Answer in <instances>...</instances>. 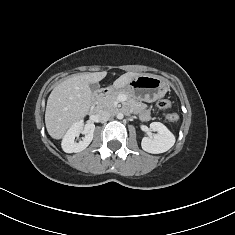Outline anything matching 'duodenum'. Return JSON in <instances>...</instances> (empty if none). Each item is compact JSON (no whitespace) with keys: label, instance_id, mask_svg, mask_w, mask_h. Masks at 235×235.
I'll return each mask as SVG.
<instances>
[{"label":"duodenum","instance_id":"410a0bca","mask_svg":"<svg viewBox=\"0 0 235 235\" xmlns=\"http://www.w3.org/2000/svg\"><path fill=\"white\" fill-rule=\"evenodd\" d=\"M112 92H113V90L110 87H104V88H101L97 91L96 97L106 95V94H109V93H112Z\"/></svg>","mask_w":235,"mask_h":235}]
</instances>
